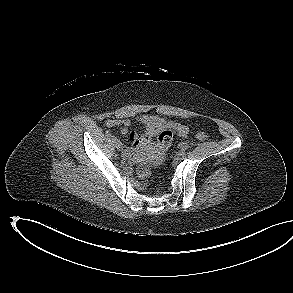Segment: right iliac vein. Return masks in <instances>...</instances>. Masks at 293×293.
<instances>
[{
    "label": "right iliac vein",
    "instance_id": "63e3f726",
    "mask_svg": "<svg viewBox=\"0 0 293 293\" xmlns=\"http://www.w3.org/2000/svg\"><path fill=\"white\" fill-rule=\"evenodd\" d=\"M113 143L118 150L122 149V143L118 139L114 140Z\"/></svg>",
    "mask_w": 293,
    "mask_h": 293
}]
</instances>
